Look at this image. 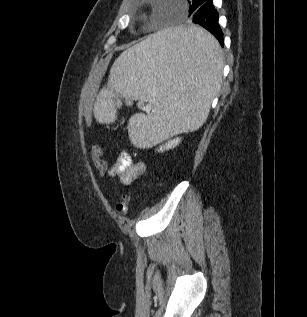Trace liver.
Masks as SVG:
<instances>
[{
  "label": "liver",
  "instance_id": "1",
  "mask_svg": "<svg viewBox=\"0 0 307 317\" xmlns=\"http://www.w3.org/2000/svg\"><path fill=\"white\" fill-rule=\"evenodd\" d=\"M97 73L98 74H92L90 82L88 83V88L91 89L90 93L88 94L87 102H86V109L89 111L92 107L93 104L96 103L97 99V91L98 89L102 88V83H101V75L104 73V68L103 67H98L97 68ZM85 118L86 119H91L92 118V113L91 112H86L85 113Z\"/></svg>",
  "mask_w": 307,
  "mask_h": 317
}]
</instances>
